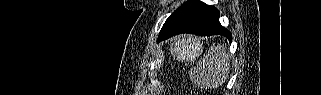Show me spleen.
Returning a JSON list of instances; mask_svg holds the SVG:
<instances>
[{"label":"spleen","instance_id":"obj_1","mask_svg":"<svg viewBox=\"0 0 321 95\" xmlns=\"http://www.w3.org/2000/svg\"><path fill=\"white\" fill-rule=\"evenodd\" d=\"M229 54L224 45H213L203 59L198 61L192 80L200 88H217L228 78L230 64Z\"/></svg>","mask_w":321,"mask_h":95}]
</instances>
